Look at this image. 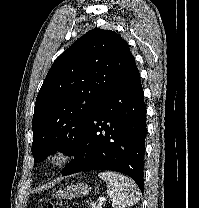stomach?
<instances>
[{
    "instance_id": "0dacf381",
    "label": "stomach",
    "mask_w": 199,
    "mask_h": 208,
    "mask_svg": "<svg viewBox=\"0 0 199 208\" xmlns=\"http://www.w3.org/2000/svg\"><path fill=\"white\" fill-rule=\"evenodd\" d=\"M90 188L87 184L77 183L67 186L63 189H59L53 194V196L61 199H73L76 197H80L86 195L89 192Z\"/></svg>"
}]
</instances>
